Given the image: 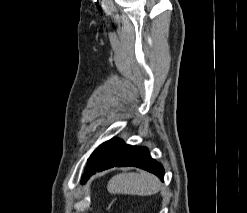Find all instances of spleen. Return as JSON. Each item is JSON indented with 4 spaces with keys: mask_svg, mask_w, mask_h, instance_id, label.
I'll return each mask as SVG.
<instances>
[{
    "mask_svg": "<svg viewBox=\"0 0 247 213\" xmlns=\"http://www.w3.org/2000/svg\"><path fill=\"white\" fill-rule=\"evenodd\" d=\"M161 183L156 176L147 172L122 173L113 176L107 186L112 194L149 196L156 194Z\"/></svg>",
    "mask_w": 247,
    "mask_h": 213,
    "instance_id": "obj_1",
    "label": "spleen"
}]
</instances>
